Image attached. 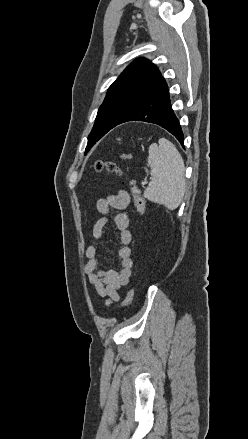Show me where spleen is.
<instances>
[{
    "instance_id": "obj_1",
    "label": "spleen",
    "mask_w": 248,
    "mask_h": 439,
    "mask_svg": "<svg viewBox=\"0 0 248 439\" xmlns=\"http://www.w3.org/2000/svg\"><path fill=\"white\" fill-rule=\"evenodd\" d=\"M158 144L149 146L151 180L143 196L151 202L164 205L168 210H174L181 204L185 194L184 161L169 140L161 138Z\"/></svg>"
}]
</instances>
